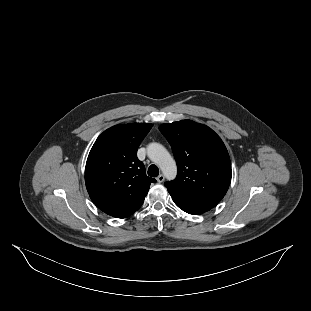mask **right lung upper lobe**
Masks as SVG:
<instances>
[{"label": "right lung upper lobe", "mask_w": 311, "mask_h": 311, "mask_svg": "<svg viewBox=\"0 0 311 311\" xmlns=\"http://www.w3.org/2000/svg\"><path fill=\"white\" fill-rule=\"evenodd\" d=\"M150 123L116 125L95 141L85 168V183L94 204L106 214L126 218L143 204L155 179L146 175L137 149Z\"/></svg>", "instance_id": "1"}]
</instances>
